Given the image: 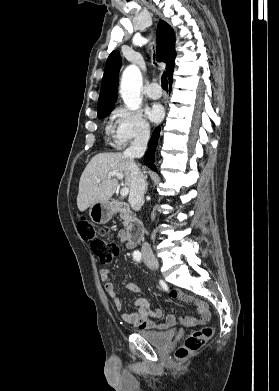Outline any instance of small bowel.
I'll list each match as a JSON object with an SVG mask.
<instances>
[{"label":"small bowel","mask_w":279,"mask_h":391,"mask_svg":"<svg viewBox=\"0 0 279 391\" xmlns=\"http://www.w3.org/2000/svg\"><path fill=\"white\" fill-rule=\"evenodd\" d=\"M117 238L120 242L124 243L127 248H133L128 241L125 231H119ZM100 277L104 282L105 291L113 299L116 310L121 311L122 303L117 295L115 285L111 281L110 271L106 268L101 269ZM128 287L134 291H139L135 284H129ZM167 292L174 299L193 304L196 307L198 316L174 317L173 315H168L164 323H156L155 320L162 317V310L160 308L153 310L149 301L145 297H139L134 301V305L137 307V310L131 313H121V319L126 324H131L139 329L158 330H164L177 324L185 327H193L196 325L206 324L210 320L211 315L206 303L197 300L180 290L173 289L167 290Z\"/></svg>","instance_id":"obj_1"}]
</instances>
